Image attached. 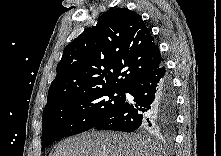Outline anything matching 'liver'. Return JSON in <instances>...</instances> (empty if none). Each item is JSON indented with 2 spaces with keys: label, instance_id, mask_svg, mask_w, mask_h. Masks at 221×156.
I'll list each match as a JSON object with an SVG mask.
<instances>
[{
  "label": "liver",
  "instance_id": "liver-1",
  "mask_svg": "<svg viewBox=\"0 0 221 156\" xmlns=\"http://www.w3.org/2000/svg\"><path fill=\"white\" fill-rule=\"evenodd\" d=\"M162 148L135 134L90 131L62 141L53 156H161Z\"/></svg>",
  "mask_w": 221,
  "mask_h": 156
}]
</instances>
